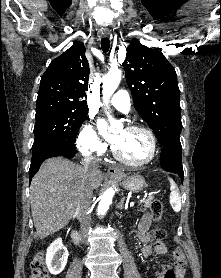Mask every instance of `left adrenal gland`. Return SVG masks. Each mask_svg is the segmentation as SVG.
<instances>
[{"label":"left adrenal gland","instance_id":"1","mask_svg":"<svg viewBox=\"0 0 221 278\" xmlns=\"http://www.w3.org/2000/svg\"><path fill=\"white\" fill-rule=\"evenodd\" d=\"M124 201H125V197H123L121 199V201L119 202V204L117 205L118 209H123L124 208Z\"/></svg>","mask_w":221,"mask_h":278}]
</instances>
